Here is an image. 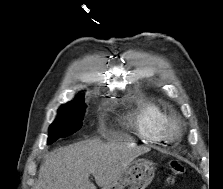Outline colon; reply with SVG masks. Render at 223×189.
<instances>
[{"instance_id":"5ec220e1","label":"colon","mask_w":223,"mask_h":189,"mask_svg":"<svg viewBox=\"0 0 223 189\" xmlns=\"http://www.w3.org/2000/svg\"><path fill=\"white\" fill-rule=\"evenodd\" d=\"M185 172H186V167L184 166L183 163L177 160L171 161L170 174L166 179V183L168 185L172 184L178 176L183 175Z\"/></svg>"}]
</instances>
